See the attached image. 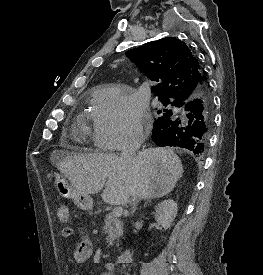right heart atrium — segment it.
<instances>
[{
	"label": "right heart atrium",
	"instance_id": "d8ad5b80",
	"mask_svg": "<svg viewBox=\"0 0 263 275\" xmlns=\"http://www.w3.org/2000/svg\"><path fill=\"white\" fill-rule=\"evenodd\" d=\"M93 138L104 150L133 146L142 137L144 107L131 89L106 87L95 95Z\"/></svg>",
	"mask_w": 263,
	"mask_h": 275
}]
</instances>
